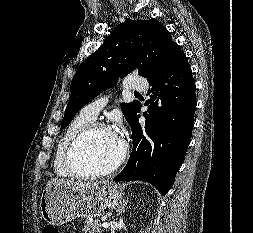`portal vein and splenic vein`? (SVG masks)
I'll return each instance as SVG.
<instances>
[{
  "mask_svg": "<svg viewBox=\"0 0 253 233\" xmlns=\"http://www.w3.org/2000/svg\"><path fill=\"white\" fill-rule=\"evenodd\" d=\"M101 226L104 227V228H108L110 226V224L108 222H103L101 224Z\"/></svg>",
  "mask_w": 253,
  "mask_h": 233,
  "instance_id": "1",
  "label": "portal vein and splenic vein"
}]
</instances>
